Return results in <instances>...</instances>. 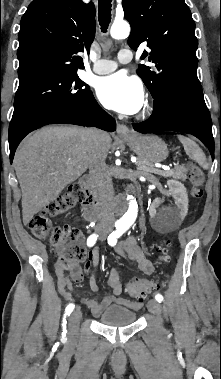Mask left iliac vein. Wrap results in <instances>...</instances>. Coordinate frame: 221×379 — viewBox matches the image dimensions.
<instances>
[{
    "mask_svg": "<svg viewBox=\"0 0 221 379\" xmlns=\"http://www.w3.org/2000/svg\"><path fill=\"white\" fill-rule=\"evenodd\" d=\"M147 308L157 318V320L161 323L162 317H161V306H160V304L156 300L151 299L147 303Z\"/></svg>",
    "mask_w": 221,
    "mask_h": 379,
    "instance_id": "1",
    "label": "left iliac vein"
}]
</instances>
